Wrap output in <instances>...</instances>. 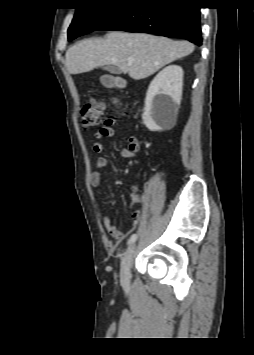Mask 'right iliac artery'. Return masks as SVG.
I'll return each instance as SVG.
<instances>
[{"instance_id":"right-iliac-artery-1","label":"right iliac artery","mask_w":254,"mask_h":355,"mask_svg":"<svg viewBox=\"0 0 254 355\" xmlns=\"http://www.w3.org/2000/svg\"><path fill=\"white\" fill-rule=\"evenodd\" d=\"M136 239H137V234H132L128 241L129 247L136 241Z\"/></svg>"}]
</instances>
